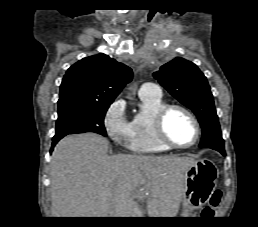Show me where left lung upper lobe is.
<instances>
[{
    "mask_svg": "<svg viewBox=\"0 0 258 227\" xmlns=\"http://www.w3.org/2000/svg\"><path fill=\"white\" fill-rule=\"evenodd\" d=\"M153 75L173 97L198 117L202 127L199 147L217 151L224 149L213 96L207 79L199 68L183 58H175Z\"/></svg>",
    "mask_w": 258,
    "mask_h": 227,
    "instance_id": "5c2ea615",
    "label": "left lung upper lobe"
}]
</instances>
